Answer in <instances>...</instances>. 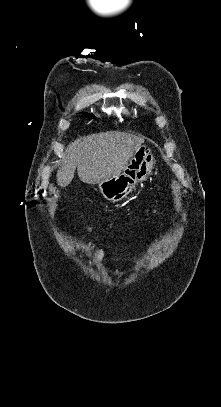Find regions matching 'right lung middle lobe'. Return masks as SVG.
<instances>
[{
  "label": "right lung middle lobe",
  "mask_w": 221,
  "mask_h": 407,
  "mask_svg": "<svg viewBox=\"0 0 221 407\" xmlns=\"http://www.w3.org/2000/svg\"><path fill=\"white\" fill-rule=\"evenodd\" d=\"M83 114H85V115H87V116H88V115H90V116H94L93 114H88V113H83Z\"/></svg>",
  "instance_id": "right-lung-middle-lobe-1"
}]
</instances>
